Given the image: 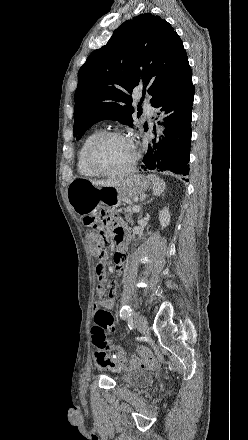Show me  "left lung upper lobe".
Listing matches in <instances>:
<instances>
[{
	"instance_id": "5c2ea615",
	"label": "left lung upper lobe",
	"mask_w": 248,
	"mask_h": 440,
	"mask_svg": "<svg viewBox=\"0 0 248 440\" xmlns=\"http://www.w3.org/2000/svg\"><path fill=\"white\" fill-rule=\"evenodd\" d=\"M191 78L183 43L167 21L150 13L125 21L78 72L74 137L79 140L103 119L133 126L131 94L135 87H143L142 100L147 91L155 106Z\"/></svg>"
}]
</instances>
